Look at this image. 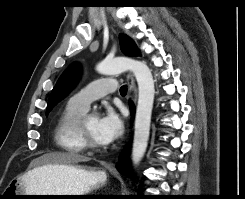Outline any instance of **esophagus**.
Wrapping results in <instances>:
<instances>
[{"instance_id":"esophagus-1","label":"esophagus","mask_w":245,"mask_h":199,"mask_svg":"<svg viewBox=\"0 0 245 199\" xmlns=\"http://www.w3.org/2000/svg\"><path fill=\"white\" fill-rule=\"evenodd\" d=\"M127 81L129 84V94L132 96V99L135 98V81L131 73L127 74ZM109 167H112V164H109Z\"/></svg>"}]
</instances>
